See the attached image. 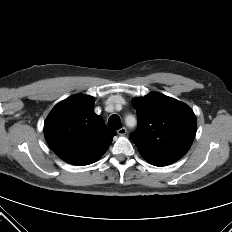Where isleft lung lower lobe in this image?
I'll list each match as a JSON object with an SVG mask.
<instances>
[{
  "mask_svg": "<svg viewBox=\"0 0 232 232\" xmlns=\"http://www.w3.org/2000/svg\"><path fill=\"white\" fill-rule=\"evenodd\" d=\"M167 165H169V164H167ZM156 166H166V165H156Z\"/></svg>",
  "mask_w": 232,
  "mask_h": 232,
  "instance_id": "left-lung-lower-lobe-1",
  "label": "left lung lower lobe"
}]
</instances>
